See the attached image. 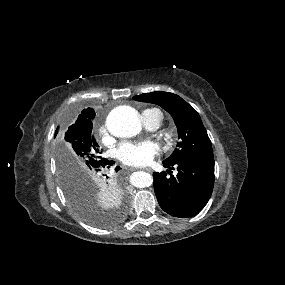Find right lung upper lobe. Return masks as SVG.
I'll return each mask as SVG.
<instances>
[{
    "instance_id": "1",
    "label": "right lung upper lobe",
    "mask_w": 285,
    "mask_h": 285,
    "mask_svg": "<svg viewBox=\"0 0 285 285\" xmlns=\"http://www.w3.org/2000/svg\"><path fill=\"white\" fill-rule=\"evenodd\" d=\"M95 112L91 108L84 109L76 120L75 124L71 125L70 128H80L92 125V119H94Z\"/></svg>"
}]
</instances>
